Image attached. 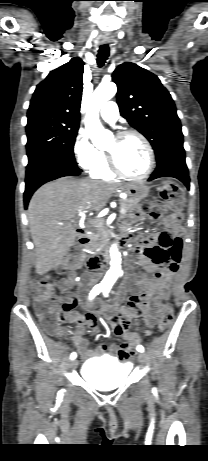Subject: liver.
<instances>
[{
	"label": "liver",
	"mask_w": 208,
	"mask_h": 461,
	"mask_svg": "<svg viewBox=\"0 0 208 461\" xmlns=\"http://www.w3.org/2000/svg\"><path fill=\"white\" fill-rule=\"evenodd\" d=\"M121 185L88 179L59 178L41 186L28 206V222L35 245L36 273L58 267L74 244L71 224L79 213L99 212Z\"/></svg>",
	"instance_id": "obj_1"
}]
</instances>
